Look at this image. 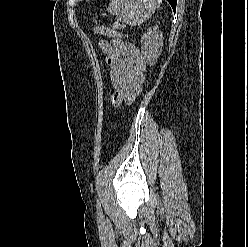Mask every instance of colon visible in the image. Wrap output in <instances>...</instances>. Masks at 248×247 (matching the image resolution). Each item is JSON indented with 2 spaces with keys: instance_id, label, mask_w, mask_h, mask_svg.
Listing matches in <instances>:
<instances>
[{
  "instance_id": "colon-1",
  "label": "colon",
  "mask_w": 248,
  "mask_h": 247,
  "mask_svg": "<svg viewBox=\"0 0 248 247\" xmlns=\"http://www.w3.org/2000/svg\"><path fill=\"white\" fill-rule=\"evenodd\" d=\"M94 32L96 34L99 35H104V36H108V37H112L115 39H120L122 38L121 35H119L117 32H115L114 30H112L111 28H108L106 26H102V25H97L94 27ZM136 66L139 69V71H141L142 73L145 70L146 64H145V60L143 55L141 54V52H139L137 59H136Z\"/></svg>"
}]
</instances>
